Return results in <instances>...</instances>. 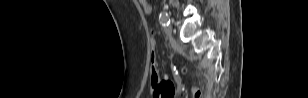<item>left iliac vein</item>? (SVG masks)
Wrapping results in <instances>:
<instances>
[{"instance_id":"4c4485c4","label":"left iliac vein","mask_w":308,"mask_h":98,"mask_svg":"<svg viewBox=\"0 0 308 98\" xmlns=\"http://www.w3.org/2000/svg\"><path fill=\"white\" fill-rule=\"evenodd\" d=\"M164 31H165V33L167 35H171V33H172V26L171 25L166 26Z\"/></svg>"}]
</instances>
